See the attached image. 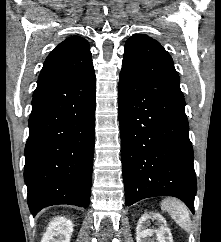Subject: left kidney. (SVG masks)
Listing matches in <instances>:
<instances>
[{
    "mask_svg": "<svg viewBox=\"0 0 221 242\" xmlns=\"http://www.w3.org/2000/svg\"><path fill=\"white\" fill-rule=\"evenodd\" d=\"M150 219L156 220V224L159 226V228L148 229L147 226L149 225ZM154 233L156 234V240L158 242H173L171 231L167 227L164 217L154 212L144 213L140 217L136 228L137 242H154L152 240Z\"/></svg>",
    "mask_w": 221,
    "mask_h": 242,
    "instance_id": "obj_1",
    "label": "left kidney"
}]
</instances>
